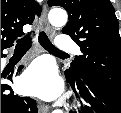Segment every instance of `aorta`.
<instances>
[{
  "label": "aorta",
  "instance_id": "762f6f07",
  "mask_svg": "<svg viewBox=\"0 0 121 113\" xmlns=\"http://www.w3.org/2000/svg\"><path fill=\"white\" fill-rule=\"evenodd\" d=\"M67 13L63 9L54 8L48 14L49 22L55 27H62L67 23ZM54 113H63L62 110L57 109Z\"/></svg>",
  "mask_w": 121,
  "mask_h": 113
}]
</instances>
